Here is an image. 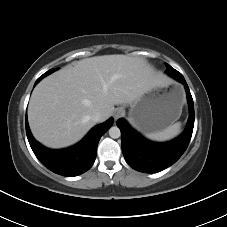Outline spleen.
I'll return each mask as SVG.
<instances>
[{"label":"spleen","mask_w":227,"mask_h":227,"mask_svg":"<svg viewBox=\"0 0 227 227\" xmlns=\"http://www.w3.org/2000/svg\"><path fill=\"white\" fill-rule=\"evenodd\" d=\"M181 123L177 122L166 127L163 130L147 133L145 136L154 141H166L176 137L180 133Z\"/></svg>","instance_id":"1"}]
</instances>
